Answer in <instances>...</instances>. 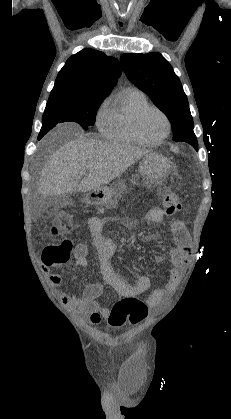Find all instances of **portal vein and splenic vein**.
<instances>
[{
    "label": "portal vein and splenic vein",
    "mask_w": 231,
    "mask_h": 419,
    "mask_svg": "<svg viewBox=\"0 0 231 419\" xmlns=\"http://www.w3.org/2000/svg\"><path fill=\"white\" fill-rule=\"evenodd\" d=\"M84 175H86V173H85V172H81V173L79 174V177H80V176H84Z\"/></svg>",
    "instance_id": "18ae733b"
}]
</instances>
